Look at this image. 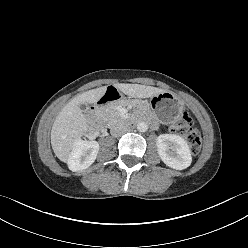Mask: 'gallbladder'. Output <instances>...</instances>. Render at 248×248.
<instances>
[{
  "label": "gallbladder",
  "instance_id": "bac80fb5",
  "mask_svg": "<svg viewBox=\"0 0 248 248\" xmlns=\"http://www.w3.org/2000/svg\"><path fill=\"white\" fill-rule=\"evenodd\" d=\"M80 108L82 111L86 112V109H87L86 105H80Z\"/></svg>",
  "mask_w": 248,
  "mask_h": 248
}]
</instances>
